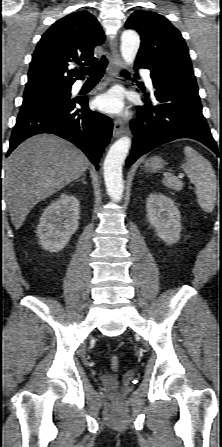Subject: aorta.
Wrapping results in <instances>:
<instances>
[{
    "mask_svg": "<svg viewBox=\"0 0 222 447\" xmlns=\"http://www.w3.org/2000/svg\"><path fill=\"white\" fill-rule=\"evenodd\" d=\"M140 46L137 32L126 30L121 35V54L128 65L135 61ZM131 140L127 136L119 138L109 149L103 164L104 181L109 196L116 202L122 199L124 182L122 165L128 154Z\"/></svg>",
    "mask_w": 222,
    "mask_h": 447,
    "instance_id": "1",
    "label": "aorta"
}]
</instances>
